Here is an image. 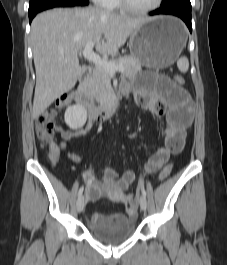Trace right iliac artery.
Masks as SVG:
<instances>
[{"label": "right iliac artery", "instance_id": "82829eb1", "mask_svg": "<svg viewBox=\"0 0 227 265\" xmlns=\"http://www.w3.org/2000/svg\"><path fill=\"white\" fill-rule=\"evenodd\" d=\"M84 187L82 186L78 191V197H80L83 193Z\"/></svg>", "mask_w": 227, "mask_h": 265}]
</instances>
